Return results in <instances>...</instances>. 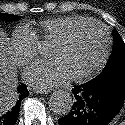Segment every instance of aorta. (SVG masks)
Wrapping results in <instances>:
<instances>
[{"instance_id":"obj_1","label":"aorta","mask_w":125,"mask_h":125,"mask_svg":"<svg viewBox=\"0 0 125 125\" xmlns=\"http://www.w3.org/2000/svg\"><path fill=\"white\" fill-rule=\"evenodd\" d=\"M74 103L73 96L64 90H56L49 99L50 109L59 115H66L72 110Z\"/></svg>"}]
</instances>
